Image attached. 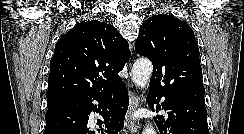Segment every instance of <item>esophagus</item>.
<instances>
[{
    "mask_svg": "<svg viewBox=\"0 0 244 134\" xmlns=\"http://www.w3.org/2000/svg\"><path fill=\"white\" fill-rule=\"evenodd\" d=\"M130 88L131 89L129 91V108L126 116V127L132 134H135L137 133L140 124L139 122L134 120L133 113L139 108L140 100L136 90L133 88L132 83H130Z\"/></svg>",
    "mask_w": 244,
    "mask_h": 134,
    "instance_id": "1",
    "label": "esophagus"
}]
</instances>
